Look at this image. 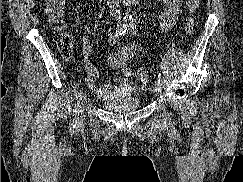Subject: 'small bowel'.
<instances>
[{"label": "small bowel", "mask_w": 243, "mask_h": 182, "mask_svg": "<svg viewBox=\"0 0 243 182\" xmlns=\"http://www.w3.org/2000/svg\"><path fill=\"white\" fill-rule=\"evenodd\" d=\"M164 4V11L161 14V27L164 30L171 28L177 20L179 9L183 0H160ZM119 38L110 35L109 44L115 46ZM141 51V44L136 42L127 43L120 46L115 52L109 53L108 65L113 70L120 71L121 76L117 82H108L104 85H98V68L90 61L91 46L87 40L82 42L83 66L86 72L85 83L87 87L97 93V95L106 101H117L127 97L136 91V87L131 83V71L127 67L130 59L134 58Z\"/></svg>", "instance_id": "c3829d8e"}]
</instances>
